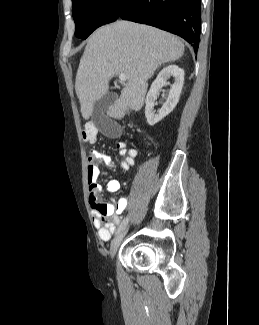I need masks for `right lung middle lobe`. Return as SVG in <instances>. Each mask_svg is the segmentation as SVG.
<instances>
[{"label": "right lung middle lobe", "instance_id": "dd1d6c3e", "mask_svg": "<svg viewBox=\"0 0 259 325\" xmlns=\"http://www.w3.org/2000/svg\"><path fill=\"white\" fill-rule=\"evenodd\" d=\"M127 0H72L75 35L86 39L98 27L115 21Z\"/></svg>", "mask_w": 259, "mask_h": 325}]
</instances>
